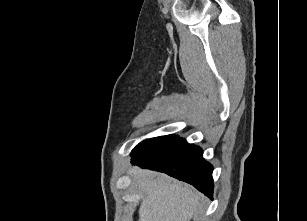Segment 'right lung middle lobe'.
Masks as SVG:
<instances>
[{
    "instance_id": "dd1d6c3e",
    "label": "right lung middle lobe",
    "mask_w": 307,
    "mask_h": 221,
    "mask_svg": "<svg viewBox=\"0 0 307 221\" xmlns=\"http://www.w3.org/2000/svg\"><path fill=\"white\" fill-rule=\"evenodd\" d=\"M177 138H178L177 136H173V135L151 138V139H148V140H145V141L139 143L133 151H136V152L146 151V150H149L153 147H157V146L163 145L165 143H168L170 141H173Z\"/></svg>"
}]
</instances>
